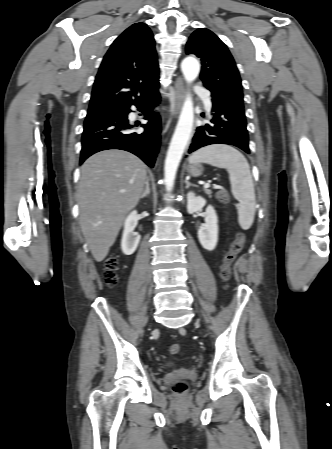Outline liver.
Segmentation results:
<instances>
[{
    "label": "liver",
    "instance_id": "6515ba94",
    "mask_svg": "<svg viewBox=\"0 0 332 449\" xmlns=\"http://www.w3.org/2000/svg\"><path fill=\"white\" fill-rule=\"evenodd\" d=\"M145 182V164L126 151H101L83 163L77 190L79 219L97 262L107 256L126 215L138 204Z\"/></svg>",
    "mask_w": 332,
    "mask_h": 449
}]
</instances>
